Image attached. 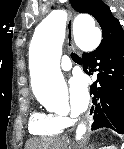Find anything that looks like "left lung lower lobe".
I'll use <instances>...</instances> for the list:
<instances>
[{
    "mask_svg": "<svg viewBox=\"0 0 124 149\" xmlns=\"http://www.w3.org/2000/svg\"><path fill=\"white\" fill-rule=\"evenodd\" d=\"M83 60L87 74L99 71L90 89L94 105L91 109L94 114L92 130L106 127L123 134L124 41L86 53Z\"/></svg>",
    "mask_w": 124,
    "mask_h": 149,
    "instance_id": "obj_1",
    "label": "left lung lower lobe"
}]
</instances>
